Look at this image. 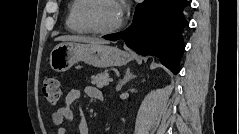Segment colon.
<instances>
[{"mask_svg": "<svg viewBox=\"0 0 239 134\" xmlns=\"http://www.w3.org/2000/svg\"><path fill=\"white\" fill-rule=\"evenodd\" d=\"M43 94L51 105H56L60 101L61 89L60 83L55 78H48L43 84Z\"/></svg>", "mask_w": 239, "mask_h": 134, "instance_id": "obj_1", "label": "colon"}]
</instances>
